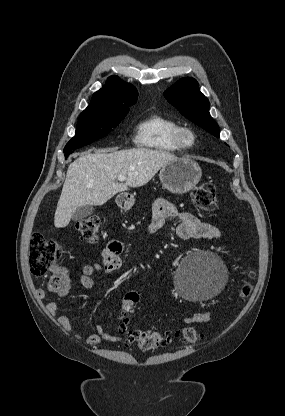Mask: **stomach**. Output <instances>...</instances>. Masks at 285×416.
Listing matches in <instances>:
<instances>
[{"label":"stomach","instance_id":"obj_1","mask_svg":"<svg viewBox=\"0 0 285 416\" xmlns=\"http://www.w3.org/2000/svg\"><path fill=\"white\" fill-rule=\"evenodd\" d=\"M202 176L201 168L197 162L190 158H177L165 164L160 170L159 178L166 190L172 194H186L195 188ZM117 204H124L130 210L134 204L133 198L126 200V196L117 198Z\"/></svg>","mask_w":285,"mask_h":416}]
</instances>
